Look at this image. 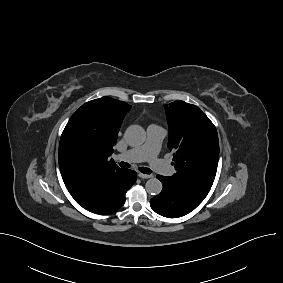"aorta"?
<instances>
[{
    "instance_id": "obj_1",
    "label": "aorta",
    "mask_w": 283,
    "mask_h": 283,
    "mask_svg": "<svg viewBox=\"0 0 283 283\" xmlns=\"http://www.w3.org/2000/svg\"><path fill=\"white\" fill-rule=\"evenodd\" d=\"M124 137L130 146H138L144 143L146 133L143 127L131 125L127 128ZM145 188L149 194L158 195L162 191V183L157 178H151L146 182Z\"/></svg>"
}]
</instances>
